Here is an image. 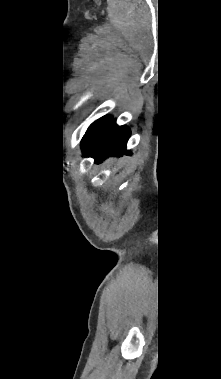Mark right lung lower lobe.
<instances>
[{
	"label": "right lung lower lobe",
	"instance_id": "obj_1",
	"mask_svg": "<svg viewBox=\"0 0 221 379\" xmlns=\"http://www.w3.org/2000/svg\"><path fill=\"white\" fill-rule=\"evenodd\" d=\"M130 133L127 127L116 126L113 120L96 143H82L83 155L94 157L95 162L99 163L108 156L120 154L121 151L129 154L125 148Z\"/></svg>",
	"mask_w": 221,
	"mask_h": 379
}]
</instances>
